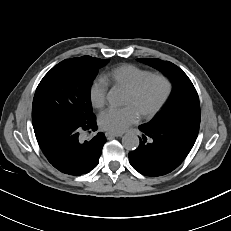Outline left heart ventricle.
Segmentation results:
<instances>
[{"instance_id": "obj_1", "label": "left heart ventricle", "mask_w": 231, "mask_h": 231, "mask_svg": "<svg viewBox=\"0 0 231 231\" xmlns=\"http://www.w3.org/2000/svg\"><path fill=\"white\" fill-rule=\"evenodd\" d=\"M166 91V84L162 79H151L142 90L131 95L127 92L124 104L133 106L139 115L151 110L162 99Z\"/></svg>"}]
</instances>
